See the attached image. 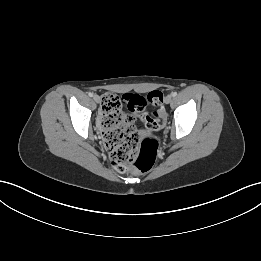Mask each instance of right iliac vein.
I'll return each instance as SVG.
<instances>
[{
    "mask_svg": "<svg viewBox=\"0 0 261 261\" xmlns=\"http://www.w3.org/2000/svg\"><path fill=\"white\" fill-rule=\"evenodd\" d=\"M93 99L96 103H100V97L98 95H94Z\"/></svg>",
    "mask_w": 261,
    "mask_h": 261,
    "instance_id": "63e3f726",
    "label": "right iliac vein"
}]
</instances>
